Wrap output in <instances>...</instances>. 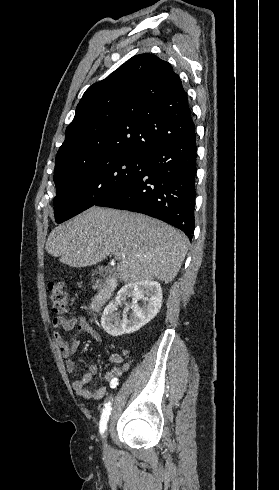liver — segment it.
Listing matches in <instances>:
<instances>
[{"label": "liver", "mask_w": 279, "mask_h": 490, "mask_svg": "<svg viewBox=\"0 0 279 490\" xmlns=\"http://www.w3.org/2000/svg\"><path fill=\"white\" fill-rule=\"evenodd\" d=\"M189 240L176 228L125 210L89 208L49 234L46 252L71 268L94 266L114 254L121 282L169 284L185 260Z\"/></svg>", "instance_id": "liver-1"}]
</instances>
